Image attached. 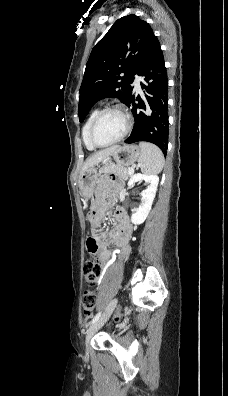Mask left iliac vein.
Wrapping results in <instances>:
<instances>
[{"label":"left iliac vein","instance_id":"obj_1","mask_svg":"<svg viewBox=\"0 0 228 396\" xmlns=\"http://www.w3.org/2000/svg\"><path fill=\"white\" fill-rule=\"evenodd\" d=\"M117 305V299H114L110 302L108 305L107 309L105 312L97 319L94 323L91 324L90 328L88 329V332L85 337V345L86 348L89 346V343L91 341V338L93 335L106 323V321L109 319L111 316L113 310L115 309Z\"/></svg>","mask_w":228,"mask_h":396}]
</instances>
